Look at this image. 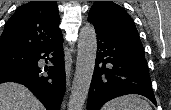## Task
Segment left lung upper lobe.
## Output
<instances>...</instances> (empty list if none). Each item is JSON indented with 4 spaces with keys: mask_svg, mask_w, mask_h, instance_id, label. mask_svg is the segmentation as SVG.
<instances>
[{
    "mask_svg": "<svg viewBox=\"0 0 171 110\" xmlns=\"http://www.w3.org/2000/svg\"><path fill=\"white\" fill-rule=\"evenodd\" d=\"M88 21L97 31L144 52L133 19L124 8L114 2L96 1L90 9Z\"/></svg>",
    "mask_w": 171,
    "mask_h": 110,
    "instance_id": "5c2ea615",
    "label": "left lung upper lobe"
}]
</instances>
